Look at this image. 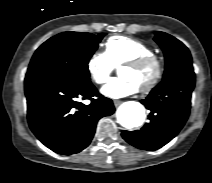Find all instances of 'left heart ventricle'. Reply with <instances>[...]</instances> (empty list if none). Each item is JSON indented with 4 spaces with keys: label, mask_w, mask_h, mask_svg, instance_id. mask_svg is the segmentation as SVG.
<instances>
[{
    "label": "left heart ventricle",
    "mask_w": 212,
    "mask_h": 183,
    "mask_svg": "<svg viewBox=\"0 0 212 183\" xmlns=\"http://www.w3.org/2000/svg\"><path fill=\"white\" fill-rule=\"evenodd\" d=\"M154 74L153 67L132 69L123 67L119 70V76L133 82L138 88L147 84Z\"/></svg>",
    "instance_id": "obj_1"
}]
</instances>
